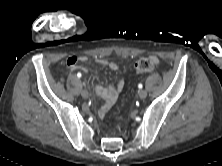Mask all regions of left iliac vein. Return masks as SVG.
Segmentation results:
<instances>
[{
  "label": "left iliac vein",
  "instance_id": "4c4485c4",
  "mask_svg": "<svg viewBox=\"0 0 222 166\" xmlns=\"http://www.w3.org/2000/svg\"><path fill=\"white\" fill-rule=\"evenodd\" d=\"M138 95L141 99H144L147 96V92L142 89V90H139Z\"/></svg>",
  "mask_w": 222,
  "mask_h": 166
}]
</instances>
